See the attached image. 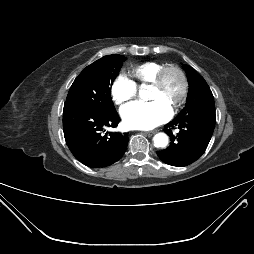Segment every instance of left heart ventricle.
<instances>
[{
	"label": "left heart ventricle",
	"mask_w": 254,
	"mask_h": 254,
	"mask_svg": "<svg viewBox=\"0 0 254 254\" xmlns=\"http://www.w3.org/2000/svg\"><path fill=\"white\" fill-rule=\"evenodd\" d=\"M180 80L173 72H168L164 77L161 88L151 87L148 95L149 100H157L164 106L172 109L180 93Z\"/></svg>",
	"instance_id": "1"
}]
</instances>
